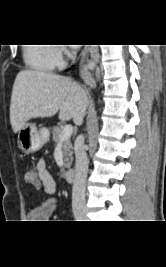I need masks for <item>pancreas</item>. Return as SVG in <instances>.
<instances>
[{
	"instance_id": "1",
	"label": "pancreas",
	"mask_w": 166,
	"mask_h": 267,
	"mask_svg": "<svg viewBox=\"0 0 166 267\" xmlns=\"http://www.w3.org/2000/svg\"><path fill=\"white\" fill-rule=\"evenodd\" d=\"M63 130V127H54L52 129V140L55 144H61L63 148V156H64V167L70 168L73 160V153H72V143L71 140L68 138L64 141H60V134ZM62 173L64 169L61 168L60 170Z\"/></svg>"
}]
</instances>
